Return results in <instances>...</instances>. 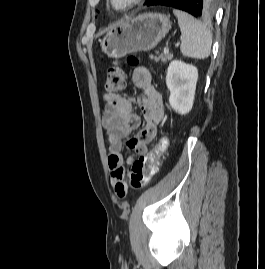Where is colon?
<instances>
[{"instance_id":"1","label":"colon","mask_w":265,"mask_h":269,"mask_svg":"<svg viewBox=\"0 0 265 269\" xmlns=\"http://www.w3.org/2000/svg\"><path fill=\"white\" fill-rule=\"evenodd\" d=\"M128 63L130 65H136L137 60L135 57L130 56ZM125 86L126 75L124 70L118 64L112 65L107 71L104 90L107 93L117 94L122 92ZM167 148L168 139L161 137L151 152L137 158L132 164L126 186H119L117 188L118 196L123 197L129 188L138 190L146 186L156 174L159 162Z\"/></svg>"}]
</instances>
